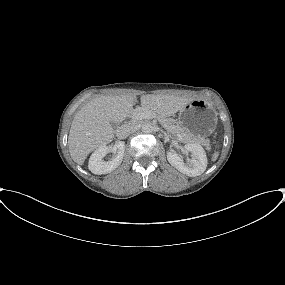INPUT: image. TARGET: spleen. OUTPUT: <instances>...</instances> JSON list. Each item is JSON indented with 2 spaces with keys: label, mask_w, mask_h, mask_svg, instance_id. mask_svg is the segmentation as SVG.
Returning <instances> with one entry per match:
<instances>
[{
  "label": "spleen",
  "mask_w": 285,
  "mask_h": 285,
  "mask_svg": "<svg viewBox=\"0 0 285 285\" xmlns=\"http://www.w3.org/2000/svg\"><path fill=\"white\" fill-rule=\"evenodd\" d=\"M219 153L215 152L212 156V161H215L218 158Z\"/></svg>",
  "instance_id": "3e777b00"
}]
</instances>
